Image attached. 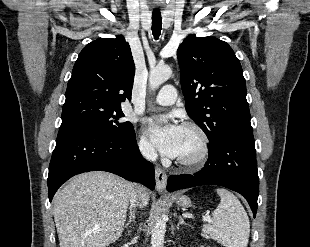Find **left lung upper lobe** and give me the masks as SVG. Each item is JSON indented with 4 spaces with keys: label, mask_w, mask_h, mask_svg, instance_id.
<instances>
[{
    "label": "left lung upper lobe",
    "mask_w": 310,
    "mask_h": 247,
    "mask_svg": "<svg viewBox=\"0 0 310 247\" xmlns=\"http://www.w3.org/2000/svg\"><path fill=\"white\" fill-rule=\"evenodd\" d=\"M186 111L209 147L252 132L246 82L232 48L214 37H187L177 51Z\"/></svg>",
    "instance_id": "obj_1"
}]
</instances>
